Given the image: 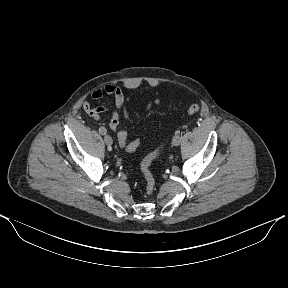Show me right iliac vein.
Segmentation results:
<instances>
[{
	"instance_id": "1",
	"label": "right iliac vein",
	"mask_w": 288,
	"mask_h": 288,
	"mask_svg": "<svg viewBox=\"0 0 288 288\" xmlns=\"http://www.w3.org/2000/svg\"><path fill=\"white\" fill-rule=\"evenodd\" d=\"M104 142L108 146L112 145V143H113L112 137L110 135H105L104 136Z\"/></svg>"
}]
</instances>
